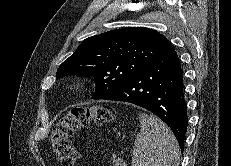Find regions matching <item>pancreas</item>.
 <instances>
[{"mask_svg": "<svg viewBox=\"0 0 231 166\" xmlns=\"http://www.w3.org/2000/svg\"><path fill=\"white\" fill-rule=\"evenodd\" d=\"M114 166H119L116 160H114Z\"/></svg>", "mask_w": 231, "mask_h": 166, "instance_id": "obj_1", "label": "pancreas"}]
</instances>
